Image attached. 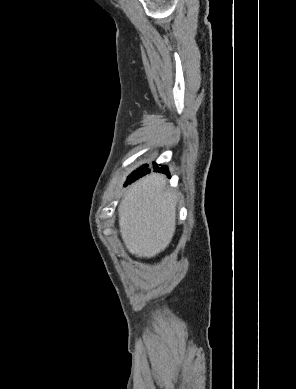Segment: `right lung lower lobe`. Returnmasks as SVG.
Masks as SVG:
<instances>
[{"label":"right lung lower lobe","mask_w":296,"mask_h":389,"mask_svg":"<svg viewBox=\"0 0 296 389\" xmlns=\"http://www.w3.org/2000/svg\"><path fill=\"white\" fill-rule=\"evenodd\" d=\"M154 169L155 171H158V172H162V173H166L168 174L167 172V167L166 166H162L160 168H158V166L156 164H154ZM149 173V169H147V167L145 168H139L138 170H136L135 172H133L127 179L126 181V184L128 183H131L133 181H135L136 179H138L139 177H142L143 175ZM125 184V186H126Z\"/></svg>","instance_id":"right-lung-lower-lobe-1"}]
</instances>
